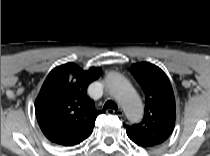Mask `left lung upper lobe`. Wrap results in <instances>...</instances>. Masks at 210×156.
Here are the masks:
<instances>
[{"mask_svg": "<svg viewBox=\"0 0 210 156\" xmlns=\"http://www.w3.org/2000/svg\"><path fill=\"white\" fill-rule=\"evenodd\" d=\"M130 71L144 90L146 105L142 122L126 126L127 135L142 147L159 145L171 135L175 125L176 106L170 81L151 63L133 64Z\"/></svg>", "mask_w": 210, "mask_h": 156, "instance_id": "1", "label": "left lung upper lobe"}]
</instances>
